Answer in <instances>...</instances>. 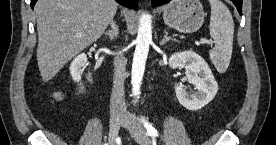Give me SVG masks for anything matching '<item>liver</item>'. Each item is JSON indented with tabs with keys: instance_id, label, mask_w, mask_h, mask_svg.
Masks as SVG:
<instances>
[{
	"instance_id": "liver-1",
	"label": "liver",
	"mask_w": 276,
	"mask_h": 145,
	"mask_svg": "<svg viewBox=\"0 0 276 145\" xmlns=\"http://www.w3.org/2000/svg\"><path fill=\"white\" fill-rule=\"evenodd\" d=\"M114 0H38L37 61L44 82L97 41L117 11Z\"/></svg>"
}]
</instances>
